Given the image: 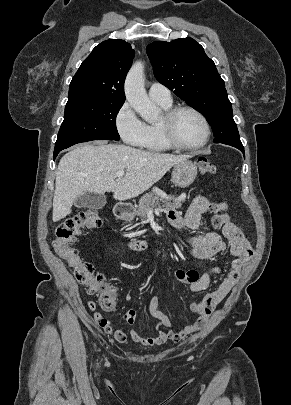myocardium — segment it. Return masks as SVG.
<instances>
[{
	"mask_svg": "<svg viewBox=\"0 0 291 405\" xmlns=\"http://www.w3.org/2000/svg\"><path fill=\"white\" fill-rule=\"evenodd\" d=\"M184 111H190L197 115L201 121L203 122L205 128V137L203 141L197 145L189 146L181 143L175 133V123L178 115ZM160 128L162 131V135L167 142V144L175 149L183 150V151H196L200 150L205 147L211 138V125L207 119V117L202 113L199 109L190 106V105H179L175 107H171L170 109L166 110L161 117L160 121Z\"/></svg>",
	"mask_w": 291,
	"mask_h": 405,
	"instance_id": "f54148a6",
	"label": "myocardium"
}]
</instances>
